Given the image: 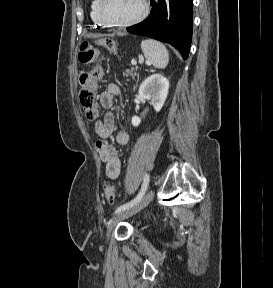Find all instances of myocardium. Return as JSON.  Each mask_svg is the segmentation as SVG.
<instances>
[{
  "mask_svg": "<svg viewBox=\"0 0 273 288\" xmlns=\"http://www.w3.org/2000/svg\"><path fill=\"white\" fill-rule=\"evenodd\" d=\"M106 0H99V4H98V16L100 18V20L102 21L103 24H105L106 26L109 27H113V28H126V27H130L133 26L135 24L140 23L141 21H143L148 13H149V3L148 0H142V11L140 12V14H138L136 17L128 20V21H124V22H114L109 20L105 14H104V4H105Z\"/></svg>",
  "mask_w": 273,
  "mask_h": 288,
  "instance_id": "f54148a6",
  "label": "myocardium"
}]
</instances>
